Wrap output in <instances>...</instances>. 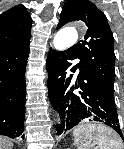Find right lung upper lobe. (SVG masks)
<instances>
[{"mask_svg":"<svg viewBox=\"0 0 124 149\" xmlns=\"http://www.w3.org/2000/svg\"><path fill=\"white\" fill-rule=\"evenodd\" d=\"M32 19L23 5L0 15V50L19 48L30 41Z\"/></svg>","mask_w":124,"mask_h":149,"instance_id":"obj_1","label":"right lung upper lobe"}]
</instances>
